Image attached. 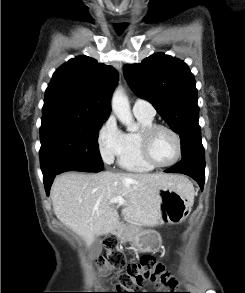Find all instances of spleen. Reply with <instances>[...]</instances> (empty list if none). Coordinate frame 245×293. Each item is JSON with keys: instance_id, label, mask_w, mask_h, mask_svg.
<instances>
[{"instance_id": "obj_1", "label": "spleen", "mask_w": 245, "mask_h": 293, "mask_svg": "<svg viewBox=\"0 0 245 293\" xmlns=\"http://www.w3.org/2000/svg\"><path fill=\"white\" fill-rule=\"evenodd\" d=\"M189 186L191 187V189H192V193H194V189H193V186H192V184L189 182Z\"/></svg>"}]
</instances>
